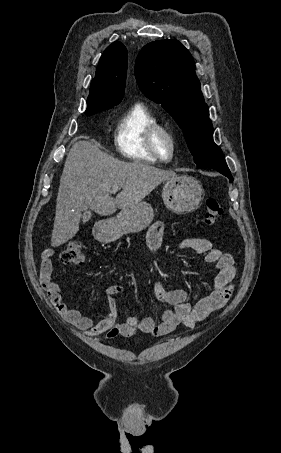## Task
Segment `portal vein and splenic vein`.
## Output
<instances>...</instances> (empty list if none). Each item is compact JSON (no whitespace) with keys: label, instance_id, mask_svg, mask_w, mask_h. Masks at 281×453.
Returning a JSON list of instances; mask_svg holds the SVG:
<instances>
[{"label":"portal vein and splenic vein","instance_id":"portal-vein-and-splenic-vein-1","mask_svg":"<svg viewBox=\"0 0 281 453\" xmlns=\"http://www.w3.org/2000/svg\"><path fill=\"white\" fill-rule=\"evenodd\" d=\"M112 190L113 192H117V190H119V186H112Z\"/></svg>","mask_w":281,"mask_h":453}]
</instances>
